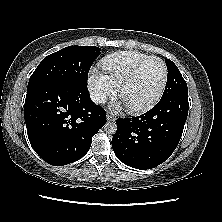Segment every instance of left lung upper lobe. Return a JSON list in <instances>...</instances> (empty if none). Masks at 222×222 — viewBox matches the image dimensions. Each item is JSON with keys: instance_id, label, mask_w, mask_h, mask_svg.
I'll return each mask as SVG.
<instances>
[{"instance_id": "left-lung-upper-lobe-1", "label": "left lung upper lobe", "mask_w": 222, "mask_h": 222, "mask_svg": "<svg viewBox=\"0 0 222 222\" xmlns=\"http://www.w3.org/2000/svg\"><path fill=\"white\" fill-rule=\"evenodd\" d=\"M166 66L168 69L167 83L162 97L173 93L188 94L186 81L183 79L177 66L169 59H166Z\"/></svg>"}]
</instances>
